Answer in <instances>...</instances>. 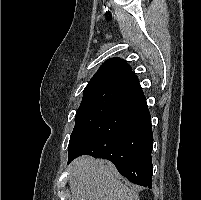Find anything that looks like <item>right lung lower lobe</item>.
<instances>
[{
    "mask_svg": "<svg viewBox=\"0 0 201 200\" xmlns=\"http://www.w3.org/2000/svg\"><path fill=\"white\" fill-rule=\"evenodd\" d=\"M153 133L141 95L79 133L68 146V163L80 155L110 160L130 182L152 188Z\"/></svg>",
    "mask_w": 201,
    "mask_h": 200,
    "instance_id": "1",
    "label": "right lung lower lobe"
}]
</instances>
